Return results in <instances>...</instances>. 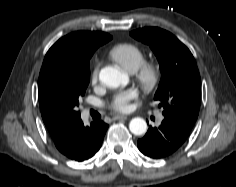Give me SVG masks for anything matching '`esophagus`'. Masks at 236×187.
Returning <instances> with one entry per match:
<instances>
[{
	"label": "esophagus",
	"mask_w": 236,
	"mask_h": 187,
	"mask_svg": "<svg viewBox=\"0 0 236 187\" xmlns=\"http://www.w3.org/2000/svg\"><path fill=\"white\" fill-rule=\"evenodd\" d=\"M112 119L113 120H126L127 116H125V115H116V116H113Z\"/></svg>",
	"instance_id": "1"
}]
</instances>
